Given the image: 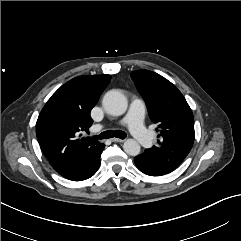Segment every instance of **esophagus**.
I'll return each instance as SVG.
<instances>
[{"instance_id": "1", "label": "esophagus", "mask_w": 241, "mask_h": 241, "mask_svg": "<svg viewBox=\"0 0 241 241\" xmlns=\"http://www.w3.org/2000/svg\"><path fill=\"white\" fill-rule=\"evenodd\" d=\"M111 140H112V142H124L125 141L124 139H119V138H113Z\"/></svg>"}]
</instances>
